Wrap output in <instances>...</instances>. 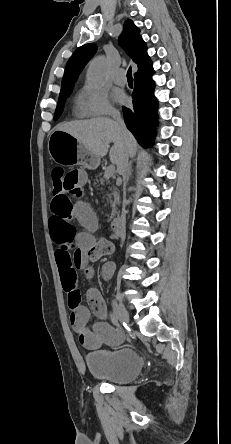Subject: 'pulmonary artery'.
Returning <instances> with one entry per match:
<instances>
[{
    "label": "pulmonary artery",
    "mask_w": 231,
    "mask_h": 444,
    "mask_svg": "<svg viewBox=\"0 0 231 444\" xmlns=\"http://www.w3.org/2000/svg\"><path fill=\"white\" fill-rule=\"evenodd\" d=\"M113 81L116 85L123 86L126 84L125 71L120 69L113 75Z\"/></svg>",
    "instance_id": "1"
}]
</instances>
